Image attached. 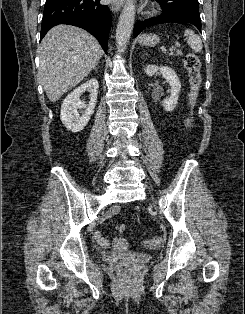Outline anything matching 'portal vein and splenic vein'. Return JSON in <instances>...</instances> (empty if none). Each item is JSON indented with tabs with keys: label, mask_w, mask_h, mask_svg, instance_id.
Wrapping results in <instances>:
<instances>
[{
	"label": "portal vein and splenic vein",
	"mask_w": 245,
	"mask_h": 314,
	"mask_svg": "<svg viewBox=\"0 0 245 314\" xmlns=\"http://www.w3.org/2000/svg\"><path fill=\"white\" fill-rule=\"evenodd\" d=\"M180 46H181L180 43L176 42V43L171 47L170 52L175 51V49L178 48V47H180Z\"/></svg>",
	"instance_id": "18ae733b"
}]
</instances>
